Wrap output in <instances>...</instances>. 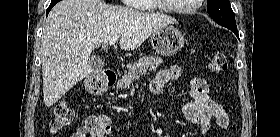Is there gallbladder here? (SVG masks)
<instances>
[{
    "mask_svg": "<svg viewBox=\"0 0 280 137\" xmlns=\"http://www.w3.org/2000/svg\"><path fill=\"white\" fill-rule=\"evenodd\" d=\"M89 63L91 65L92 69H93V72H95V73L101 71L103 69V66H104V62L99 57H92L89 60Z\"/></svg>",
    "mask_w": 280,
    "mask_h": 137,
    "instance_id": "1",
    "label": "gallbladder"
}]
</instances>
